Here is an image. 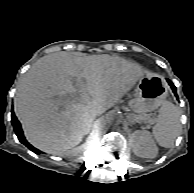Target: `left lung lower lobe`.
<instances>
[{"label":"left lung lower lobe","instance_id":"left-lung-lower-lobe-1","mask_svg":"<svg viewBox=\"0 0 194 193\" xmlns=\"http://www.w3.org/2000/svg\"><path fill=\"white\" fill-rule=\"evenodd\" d=\"M167 81H168L169 85L171 86V88H172L174 94L177 96L176 87L174 86V84H173L170 80L167 79ZM177 98H178V97H177Z\"/></svg>","mask_w":194,"mask_h":193}]
</instances>
